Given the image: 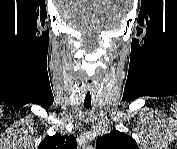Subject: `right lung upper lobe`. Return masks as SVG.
I'll return each mask as SVG.
<instances>
[{
  "mask_svg": "<svg viewBox=\"0 0 177 149\" xmlns=\"http://www.w3.org/2000/svg\"><path fill=\"white\" fill-rule=\"evenodd\" d=\"M38 149H77L76 138L60 134L48 136L41 141Z\"/></svg>",
  "mask_w": 177,
  "mask_h": 149,
  "instance_id": "right-lung-upper-lobe-1",
  "label": "right lung upper lobe"
}]
</instances>
